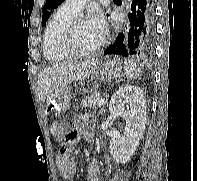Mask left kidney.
Segmentation results:
<instances>
[{
	"label": "left kidney",
	"instance_id": "left-kidney-1",
	"mask_svg": "<svg viewBox=\"0 0 197 181\" xmlns=\"http://www.w3.org/2000/svg\"><path fill=\"white\" fill-rule=\"evenodd\" d=\"M109 111L126 121L124 135L113 137L109 146L116 162L126 163L137 149L145 130L147 112L143 90L131 85L119 88L111 98Z\"/></svg>",
	"mask_w": 197,
	"mask_h": 181
}]
</instances>
